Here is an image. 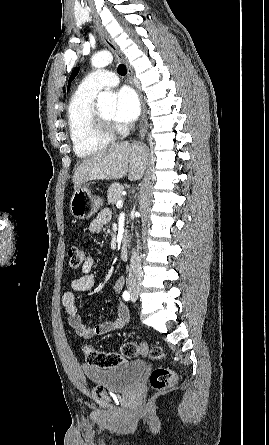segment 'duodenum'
Returning a JSON list of instances; mask_svg holds the SVG:
<instances>
[{
  "label": "duodenum",
  "mask_w": 269,
  "mask_h": 445,
  "mask_svg": "<svg viewBox=\"0 0 269 445\" xmlns=\"http://www.w3.org/2000/svg\"><path fill=\"white\" fill-rule=\"evenodd\" d=\"M120 257L122 259H127L128 257V244L126 241H123L120 247Z\"/></svg>",
  "instance_id": "1"
}]
</instances>
